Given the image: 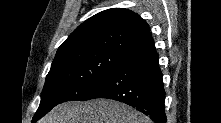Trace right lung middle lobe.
<instances>
[{"label": "right lung middle lobe", "mask_w": 221, "mask_h": 123, "mask_svg": "<svg viewBox=\"0 0 221 123\" xmlns=\"http://www.w3.org/2000/svg\"><path fill=\"white\" fill-rule=\"evenodd\" d=\"M128 57L110 49L96 48L55 58L33 120L40 119L62 102L89 100L96 84Z\"/></svg>", "instance_id": "1"}]
</instances>
